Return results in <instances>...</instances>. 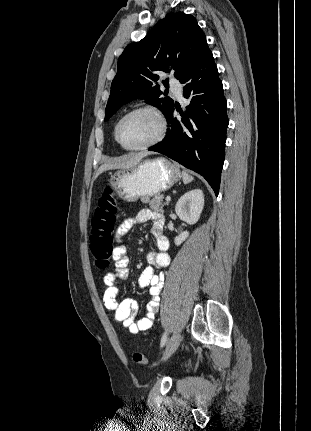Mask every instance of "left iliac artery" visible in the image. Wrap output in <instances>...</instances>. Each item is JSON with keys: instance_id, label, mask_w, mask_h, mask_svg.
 Returning a JSON list of instances; mask_svg holds the SVG:
<instances>
[{"instance_id": "obj_1", "label": "left iliac artery", "mask_w": 311, "mask_h": 431, "mask_svg": "<svg viewBox=\"0 0 311 431\" xmlns=\"http://www.w3.org/2000/svg\"><path fill=\"white\" fill-rule=\"evenodd\" d=\"M166 341H167V332H164V334L161 338L160 346L163 347L165 345Z\"/></svg>"}]
</instances>
